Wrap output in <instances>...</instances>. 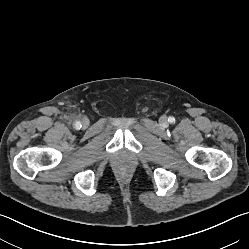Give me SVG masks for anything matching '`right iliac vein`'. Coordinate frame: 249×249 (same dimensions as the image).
I'll use <instances>...</instances> for the list:
<instances>
[{"label":"right iliac vein","instance_id":"63e3f726","mask_svg":"<svg viewBox=\"0 0 249 249\" xmlns=\"http://www.w3.org/2000/svg\"><path fill=\"white\" fill-rule=\"evenodd\" d=\"M88 125H89V120H88L87 118H84V119L82 120V126H83L84 128H86V127H88Z\"/></svg>","mask_w":249,"mask_h":249}]
</instances>
